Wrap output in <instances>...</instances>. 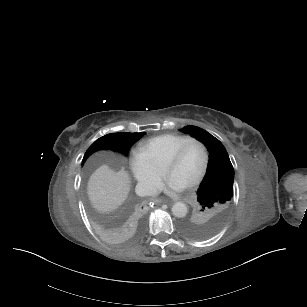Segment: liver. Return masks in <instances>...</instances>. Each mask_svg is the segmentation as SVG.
Instances as JSON below:
<instances>
[{
    "label": "liver",
    "mask_w": 307,
    "mask_h": 307,
    "mask_svg": "<svg viewBox=\"0 0 307 307\" xmlns=\"http://www.w3.org/2000/svg\"><path fill=\"white\" fill-rule=\"evenodd\" d=\"M130 182L124 167L118 171L107 164L97 168L87 185V194L93 208L102 213L117 209L128 197Z\"/></svg>",
    "instance_id": "obj_1"
}]
</instances>
